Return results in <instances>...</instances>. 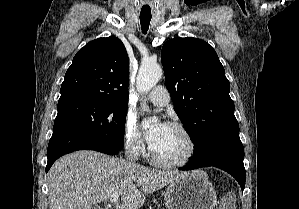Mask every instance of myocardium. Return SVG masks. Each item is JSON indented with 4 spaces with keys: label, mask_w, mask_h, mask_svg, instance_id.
I'll use <instances>...</instances> for the list:
<instances>
[{
    "label": "myocardium",
    "mask_w": 299,
    "mask_h": 209,
    "mask_svg": "<svg viewBox=\"0 0 299 209\" xmlns=\"http://www.w3.org/2000/svg\"><path fill=\"white\" fill-rule=\"evenodd\" d=\"M167 126L180 131L184 135V137L186 138V140L188 142V151H187L186 155L180 160L165 161V160H162V159L158 158L153 153V150H152L151 146H149L148 156H149L150 160L152 161V163L159 166V167L177 168V167L185 166L189 162H191V160L194 158V156L196 154V151H197L196 140H195L193 134L190 132V130L185 125H183L182 123L171 121V122L167 123Z\"/></svg>",
    "instance_id": "f54148a6"
}]
</instances>
